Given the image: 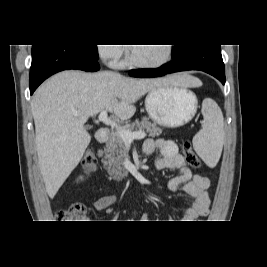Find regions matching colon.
<instances>
[{"instance_id": "1", "label": "colon", "mask_w": 267, "mask_h": 267, "mask_svg": "<svg viewBox=\"0 0 267 267\" xmlns=\"http://www.w3.org/2000/svg\"><path fill=\"white\" fill-rule=\"evenodd\" d=\"M182 154L185 157L187 163L193 167L198 168L200 166V160L193 151L189 142L182 144ZM82 166L85 172H91L97 167V158L93 150L88 149L85 151L82 157ZM86 215V206L81 202H75L69 205L66 209L60 210L57 214V219L62 223H79L82 222Z\"/></svg>"}]
</instances>
